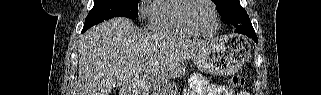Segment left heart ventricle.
Instances as JSON below:
<instances>
[{"mask_svg": "<svg viewBox=\"0 0 321 95\" xmlns=\"http://www.w3.org/2000/svg\"><path fill=\"white\" fill-rule=\"evenodd\" d=\"M190 19L203 33L211 32L215 26L213 10L204 0L194 1L190 10Z\"/></svg>", "mask_w": 321, "mask_h": 95, "instance_id": "1", "label": "left heart ventricle"}]
</instances>
